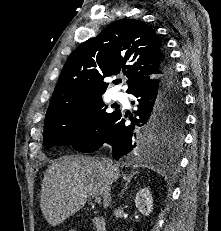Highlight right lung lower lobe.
Returning <instances> with one entry per match:
<instances>
[{
  "label": "right lung lower lobe",
  "instance_id": "right-lung-lower-lobe-1",
  "mask_svg": "<svg viewBox=\"0 0 221 231\" xmlns=\"http://www.w3.org/2000/svg\"><path fill=\"white\" fill-rule=\"evenodd\" d=\"M163 50L162 75L160 78L152 84L130 93L137 98L138 107L135 112L136 118H130L132 125H125L124 116L120 111H117L101 133L75 148L76 150L90 153L97 150L103 143H108L112 146L113 158L116 160L130 151L146 158L163 152L164 143L149 137L144 128L149 123L161 96L180 101L184 105L182 90L175 68L167 52L165 49Z\"/></svg>",
  "mask_w": 221,
  "mask_h": 231
}]
</instances>
